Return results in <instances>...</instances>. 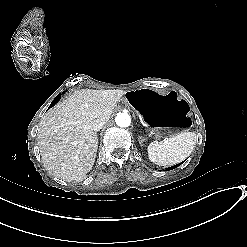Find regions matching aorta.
<instances>
[{"mask_svg":"<svg viewBox=\"0 0 247 247\" xmlns=\"http://www.w3.org/2000/svg\"><path fill=\"white\" fill-rule=\"evenodd\" d=\"M115 122L119 127H128L131 123V118L129 116V114L124 113V112H120L117 114V116L115 117Z\"/></svg>","mask_w":247,"mask_h":247,"instance_id":"obj_1","label":"aorta"}]
</instances>
